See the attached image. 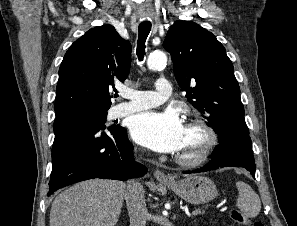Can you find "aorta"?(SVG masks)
<instances>
[{
	"mask_svg": "<svg viewBox=\"0 0 297 226\" xmlns=\"http://www.w3.org/2000/svg\"><path fill=\"white\" fill-rule=\"evenodd\" d=\"M167 63V56L162 51H155L150 53L147 59V66L151 70H157L164 67Z\"/></svg>",
	"mask_w": 297,
	"mask_h": 226,
	"instance_id": "762f6f07",
	"label": "aorta"
}]
</instances>
